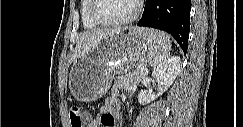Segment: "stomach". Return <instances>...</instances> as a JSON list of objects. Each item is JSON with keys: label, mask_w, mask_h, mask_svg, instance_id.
<instances>
[{"label": "stomach", "mask_w": 243, "mask_h": 127, "mask_svg": "<svg viewBox=\"0 0 243 127\" xmlns=\"http://www.w3.org/2000/svg\"><path fill=\"white\" fill-rule=\"evenodd\" d=\"M151 32L145 28H123L78 56L69 73L72 96L83 102L94 101L110 87L116 74H124L150 58L154 49Z\"/></svg>", "instance_id": "stomach-1"}]
</instances>
